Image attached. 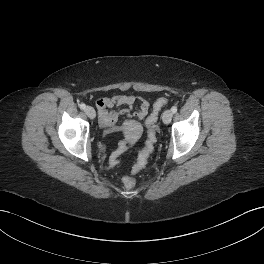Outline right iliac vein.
<instances>
[{"mask_svg": "<svg viewBox=\"0 0 264 264\" xmlns=\"http://www.w3.org/2000/svg\"><path fill=\"white\" fill-rule=\"evenodd\" d=\"M85 113L91 119L95 118L96 116L95 110L91 106H87L85 108Z\"/></svg>", "mask_w": 264, "mask_h": 264, "instance_id": "obj_1", "label": "right iliac vein"}]
</instances>
